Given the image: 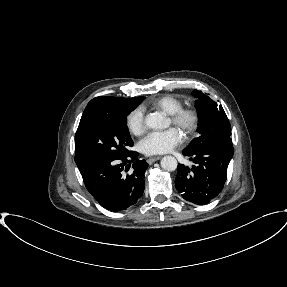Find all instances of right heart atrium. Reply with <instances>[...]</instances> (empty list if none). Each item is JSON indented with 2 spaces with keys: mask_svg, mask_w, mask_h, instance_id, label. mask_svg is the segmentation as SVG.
Segmentation results:
<instances>
[{
  "mask_svg": "<svg viewBox=\"0 0 287 287\" xmlns=\"http://www.w3.org/2000/svg\"><path fill=\"white\" fill-rule=\"evenodd\" d=\"M126 125L129 132L139 136L146 130V119L142 108L137 107L129 112L126 117Z\"/></svg>",
  "mask_w": 287,
  "mask_h": 287,
  "instance_id": "right-heart-atrium-1",
  "label": "right heart atrium"
}]
</instances>
